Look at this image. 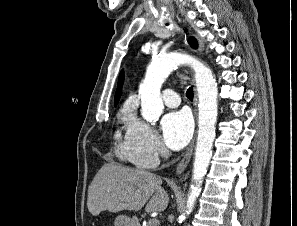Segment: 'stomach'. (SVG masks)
<instances>
[{
  "mask_svg": "<svg viewBox=\"0 0 297 226\" xmlns=\"http://www.w3.org/2000/svg\"><path fill=\"white\" fill-rule=\"evenodd\" d=\"M115 226H139L135 217L130 218L125 215H120L115 220Z\"/></svg>",
  "mask_w": 297,
  "mask_h": 226,
  "instance_id": "obj_1",
  "label": "stomach"
}]
</instances>
